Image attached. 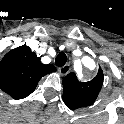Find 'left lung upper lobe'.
I'll return each mask as SVG.
<instances>
[{
  "instance_id": "1",
  "label": "left lung upper lobe",
  "mask_w": 124,
  "mask_h": 124,
  "mask_svg": "<svg viewBox=\"0 0 124 124\" xmlns=\"http://www.w3.org/2000/svg\"><path fill=\"white\" fill-rule=\"evenodd\" d=\"M63 100L72 110L93 104L103 84V72L100 69L96 77L89 82H80L75 73L68 74L62 81Z\"/></svg>"
}]
</instances>
